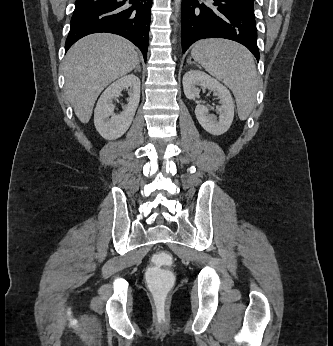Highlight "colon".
Masks as SVG:
<instances>
[{
    "instance_id": "colon-1",
    "label": "colon",
    "mask_w": 333,
    "mask_h": 346,
    "mask_svg": "<svg viewBox=\"0 0 333 346\" xmlns=\"http://www.w3.org/2000/svg\"><path fill=\"white\" fill-rule=\"evenodd\" d=\"M149 269H145L148 288L152 294L153 310H165L167 293L175 288V281L171 273L172 257L167 252H159L152 258Z\"/></svg>"
}]
</instances>
